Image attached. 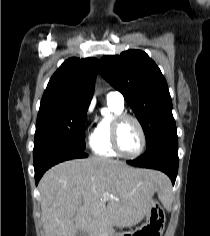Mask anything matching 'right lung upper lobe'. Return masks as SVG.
<instances>
[{
    "label": "right lung upper lobe",
    "instance_id": "obj_1",
    "mask_svg": "<svg viewBox=\"0 0 210 236\" xmlns=\"http://www.w3.org/2000/svg\"><path fill=\"white\" fill-rule=\"evenodd\" d=\"M98 71L96 58H70L50 79L41 104L48 102H72L89 107Z\"/></svg>",
    "mask_w": 210,
    "mask_h": 236
}]
</instances>
